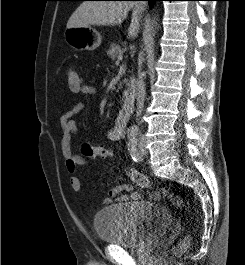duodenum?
Listing matches in <instances>:
<instances>
[{
    "label": "duodenum",
    "mask_w": 245,
    "mask_h": 265,
    "mask_svg": "<svg viewBox=\"0 0 245 265\" xmlns=\"http://www.w3.org/2000/svg\"><path fill=\"white\" fill-rule=\"evenodd\" d=\"M138 92L137 82L131 78L128 87L123 92V99L127 105H133Z\"/></svg>",
    "instance_id": "obj_1"
}]
</instances>
